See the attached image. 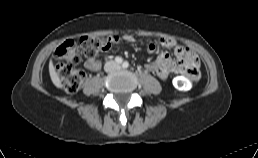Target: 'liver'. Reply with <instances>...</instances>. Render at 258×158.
I'll return each instance as SVG.
<instances>
[{"label": "liver", "instance_id": "1", "mask_svg": "<svg viewBox=\"0 0 258 158\" xmlns=\"http://www.w3.org/2000/svg\"><path fill=\"white\" fill-rule=\"evenodd\" d=\"M49 74H50V78L53 82V84L57 87V88H62V83L61 80L56 72V69L53 65L52 60H50L49 62Z\"/></svg>", "mask_w": 258, "mask_h": 158}]
</instances>
